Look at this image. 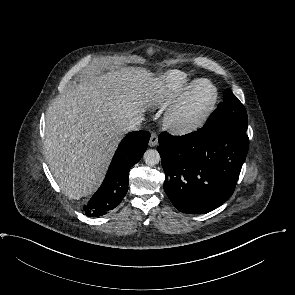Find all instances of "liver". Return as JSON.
<instances>
[{
    "label": "liver",
    "instance_id": "liver-1",
    "mask_svg": "<svg viewBox=\"0 0 295 295\" xmlns=\"http://www.w3.org/2000/svg\"><path fill=\"white\" fill-rule=\"evenodd\" d=\"M152 76L116 66L71 85L49 106L44 154L66 196L80 199L99 188L123 128L146 111Z\"/></svg>",
    "mask_w": 295,
    "mask_h": 295
}]
</instances>
